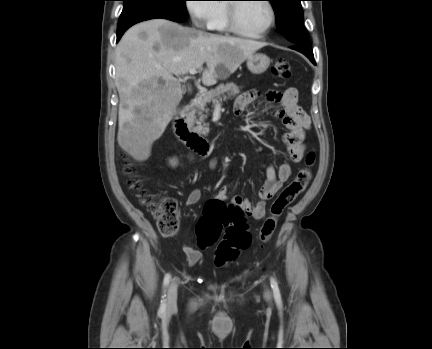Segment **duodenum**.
Wrapping results in <instances>:
<instances>
[{
	"instance_id": "410a0bca",
	"label": "duodenum",
	"mask_w": 432,
	"mask_h": 349,
	"mask_svg": "<svg viewBox=\"0 0 432 349\" xmlns=\"http://www.w3.org/2000/svg\"><path fill=\"white\" fill-rule=\"evenodd\" d=\"M195 104L189 102L176 115L174 121V132L187 148L200 156L209 153L208 141L193 129L192 117Z\"/></svg>"
}]
</instances>
